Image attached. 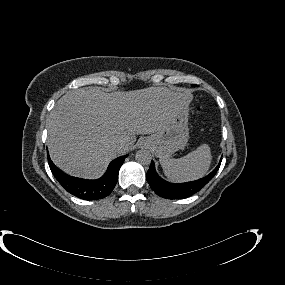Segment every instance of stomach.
I'll list each match as a JSON object with an SVG mask.
<instances>
[{
  "label": "stomach",
  "mask_w": 285,
  "mask_h": 285,
  "mask_svg": "<svg viewBox=\"0 0 285 285\" xmlns=\"http://www.w3.org/2000/svg\"><path fill=\"white\" fill-rule=\"evenodd\" d=\"M189 139L188 107L179 110L159 131L145 137L142 144L150 146L161 158H169L177 150L183 149Z\"/></svg>",
  "instance_id": "0dacf381"
}]
</instances>
